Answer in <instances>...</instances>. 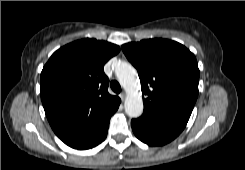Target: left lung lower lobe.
Returning <instances> with one entry per match:
<instances>
[{
	"instance_id": "obj_1",
	"label": "left lung lower lobe",
	"mask_w": 245,
	"mask_h": 170,
	"mask_svg": "<svg viewBox=\"0 0 245 170\" xmlns=\"http://www.w3.org/2000/svg\"><path fill=\"white\" fill-rule=\"evenodd\" d=\"M186 124L182 120L145 109L141 117L131 121L136 137L150 146L171 142L183 131Z\"/></svg>"
}]
</instances>
